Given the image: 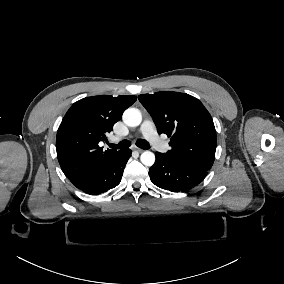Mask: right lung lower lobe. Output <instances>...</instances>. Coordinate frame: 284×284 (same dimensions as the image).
Listing matches in <instances>:
<instances>
[{"label":"right lung lower lobe","instance_id":"98d812e1","mask_svg":"<svg viewBox=\"0 0 284 284\" xmlns=\"http://www.w3.org/2000/svg\"><path fill=\"white\" fill-rule=\"evenodd\" d=\"M130 157V149L121 150L77 188L87 194L98 195L116 187L121 181L123 170Z\"/></svg>","mask_w":284,"mask_h":284}]
</instances>
